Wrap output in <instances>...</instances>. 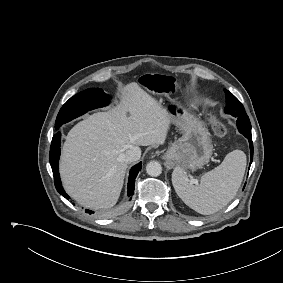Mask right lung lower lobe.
<instances>
[{"label": "right lung lower lobe", "instance_id": "obj_1", "mask_svg": "<svg viewBox=\"0 0 283 283\" xmlns=\"http://www.w3.org/2000/svg\"><path fill=\"white\" fill-rule=\"evenodd\" d=\"M61 139V133L58 131L52 138V143L50 147V164L53 171L54 176V183L57 191L63 195L65 198L69 199V196L65 193L64 189L62 188V183L59 177V156H60V141ZM142 163H138L135 166H133L129 173V181H128V196H131L133 194L134 188H135V178L137 177L138 172L141 170ZM89 214L92 213L90 210H86Z\"/></svg>", "mask_w": 283, "mask_h": 283}]
</instances>
